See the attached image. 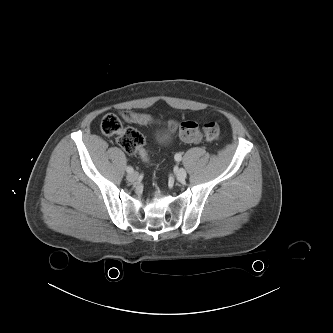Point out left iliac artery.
<instances>
[{
  "instance_id": "1",
  "label": "left iliac artery",
  "mask_w": 333,
  "mask_h": 333,
  "mask_svg": "<svg viewBox=\"0 0 333 333\" xmlns=\"http://www.w3.org/2000/svg\"><path fill=\"white\" fill-rule=\"evenodd\" d=\"M174 158H175V160L178 161V162L182 160V156H181L180 153H177V154L175 155Z\"/></svg>"
}]
</instances>
